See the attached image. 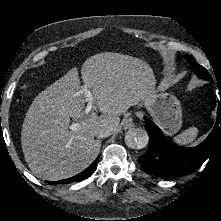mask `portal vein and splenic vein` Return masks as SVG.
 <instances>
[{
    "label": "portal vein and splenic vein",
    "instance_id": "portal-vein-and-splenic-vein-1",
    "mask_svg": "<svg viewBox=\"0 0 221 221\" xmlns=\"http://www.w3.org/2000/svg\"><path fill=\"white\" fill-rule=\"evenodd\" d=\"M81 93L84 94V96L86 97V102H87V106L85 108V114L89 115L91 113L92 109L94 108L93 95H92L91 91L86 86L82 87ZM79 127H80L79 123H73L69 126V129L71 131H76Z\"/></svg>",
    "mask_w": 221,
    "mask_h": 221
}]
</instances>
